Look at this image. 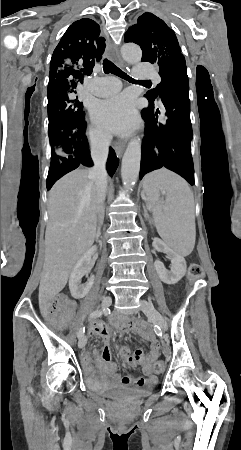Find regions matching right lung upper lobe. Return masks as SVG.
<instances>
[{
  "label": "right lung upper lobe",
  "instance_id": "cb5924a9",
  "mask_svg": "<svg viewBox=\"0 0 241 450\" xmlns=\"http://www.w3.org/2000/svg\"><path fill=\"white\" fill-rule=\"evenodd\" d=\"M99 25L88 18L74 22L55 48L49 72L48 99L76 92L79 83L92 73L105 49Z\"/></svg>",
  "mask_w": 241,
  "mask_h": 450
}]
</instances>
